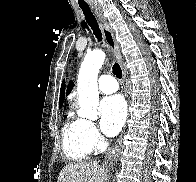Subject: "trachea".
I'll return each mask as SVG.
<instances>
[{"mask_svg": "<svg viewBox=\"0 0 196 182\" xmlns=\"http://www.w3.org/2000/svg\"><path fill=\"white\" fill-rule=\"evenodd\" d=\"M81 9L85 15L87 23L89 24V26L93 30L94 35L96 36L98 41L101 42L102 41V33H101V30L98 26L97 20H96L95 16L93 15L92 11L90 10L89 7H81ZM112 70L117 78H119V79L122 78V70H121V67L118 63L115 62L113 64Z\"/></svg>", "mask_w": 196, "mask_h": 182, "instance_id": "trachea-1", "label": "trachea"}]
</instances>
